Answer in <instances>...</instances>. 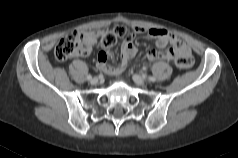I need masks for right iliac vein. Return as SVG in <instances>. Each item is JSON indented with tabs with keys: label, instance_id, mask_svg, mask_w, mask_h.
Wrapping results in <instances>:
<instances>
[{
	"label": "right iliac vein",
	"instance_id": "obj_1",
	"mask_svg": "<svg viewBox=\"0 0 238 158\" xmlns=\"http://www.w3.org/2000/svg\"><path fill=\"white\" fill-rule=\"evenodd\" d=\"M90 83L93 84V85H95V84L98 83V79H97L96 77H94V78H92V79L90 80Z\"/></svg>",
	"mask_w": 238,
	"mask_h": 158
}]
</instances>
